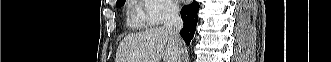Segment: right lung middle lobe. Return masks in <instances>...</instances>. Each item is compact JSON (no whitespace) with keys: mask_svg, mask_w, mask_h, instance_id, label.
<instances>
[{"mask_svg":"<svg viewBox=\"0 0 331 62\" xmlns=\"http://www.w3.org/2000/svg\"><path fill=\"white\" fill-rule=\"evenodd\" d=\"M116 5H117V6H122V5H124V2L121 1V2H119V3H116Z\"/></svg>","mask_w":331,"mask_h":62,"instance_id":"right-lung-middle-lobe-1","label":"right lung middle lobe"}]
</instances>
